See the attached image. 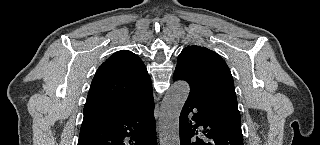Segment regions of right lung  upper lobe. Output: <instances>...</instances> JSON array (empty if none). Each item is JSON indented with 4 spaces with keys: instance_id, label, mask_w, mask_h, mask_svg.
Wrapping results in <instances>:
<instances>
[{
    "instance_id": "cb5924a9",
    "label": "right lung upper lobe",
    "mask_w": 320,
    "mask_h": 145,
    "mask_svg": "<svg viewBox=\"0 0 320 145\" xmlns=\"http://www.w3.org/2000/svg\"><path fill=\"white\" fill-rule=\"evenodd\" d=\"M152 94L151 79L142 60L128 50L115 52L92 80L82 124L129 113Z\"/></svg>"
}]
</instances>
